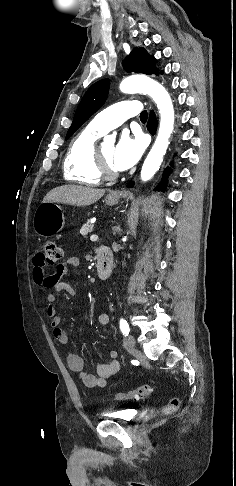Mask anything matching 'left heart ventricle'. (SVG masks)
Wrapping results in <instances>:
<instances>
[{"instance_id": "1", "label": "left heart ventricle", "mask_w": 236, "mask_h": 486, "mask_svg": "<svg viewBox=\"0 0 236 486\" xmlns=\"http://www.w3.org/2000/svg\"><path fill=\"white\" fill-rule=\"evenodd\" d=\"M100 154L104 160V162L107 164V166L115 170L114 165H113V154H114V147L113 146H103L99 148Z\"/></svg>"}]
</instances>
